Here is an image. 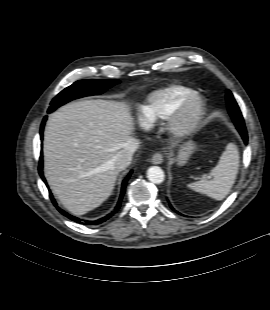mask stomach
Segmentation results:
<instances>
[{"instance_id": "0dacf381", "label": "stomach", "mask_w": 270, "mask_h": 310, "mask_svg": "<svg viewBox=\"0 0 270 310\" xmlns=\"http://www.w3.org/2000/svg\"><path fill=\"white\" fill-rule=\"evenodd\" d=\"M196 144L192 141H188L184 143L176 157V161L178 165H184L189 160L190 156L195 152Z\"/></svg>"}]
</instances>
